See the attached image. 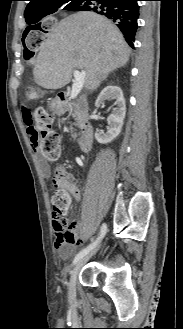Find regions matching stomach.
<instances>
[{"instance_id":"1","label":"stomach","mask_w":183,"mask_h":329,"mask_svg":"<svg viewBox=\"0 0 183 329\" xmlns=\"http://www.w3.org/2000/svg\"><path fill=\"white\" fill-rule=\"evenodd\" d=\"M49 109L52 112L59 113L61 112L62 105L58 99H54L49 103Z\"/></svg>"}]
</instances>
